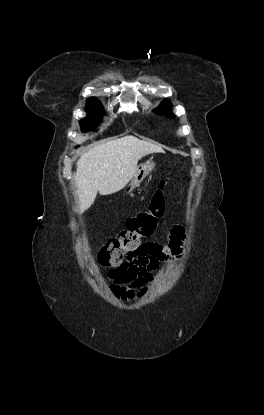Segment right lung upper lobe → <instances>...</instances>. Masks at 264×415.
I'll list each match as a JSON object with an SVG mask.
<instances>
[{
	"instance_id": "1",
	"label": "right lung upper lobe",
	"mask_w": 264,
	"mask_h": 415,
	"mask_svg": "<svg viewBox=\"0 0 264 415\" xmlns=\"http://www.w3.org/2000/svg\"><path fill=\"white\" fill-rule=\"evenodd\" d=\"M89 100H97V99H95V98H89L87 101H89Z\"/></svg>"
}]
</instances>
